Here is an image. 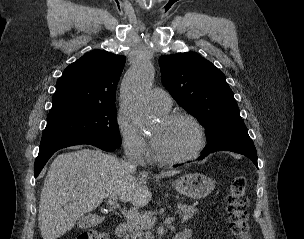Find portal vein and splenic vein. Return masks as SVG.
Listing matches in <instances>:
<instances>
[{
	"label": "portal vein and splenic vein",
	"mask_w": 304,
	"mask_h": 239,
	"mask_svg": "<svg viewBox=\"0 0 304 239\" xmlns=\"http://www.w3.org/2000/svg\"><path fill=\"white\" fill-rule=\"evenodd\" d=\"M117 201H118L117 196H110V197L108 198V204H109L110 206H112L113 208H116V207L119 206V204H118ZM120 211H121V213L124 215V217H126V218L128 219V221H133V220H135L136 218H138L137 214H135V213H133V212H129V211H127L126 209H120ZM174 220H175V217H169V218H167V219L164 221V223H165V224H170V223H172ZM154 223H155L154 220H151V221L148 222V224H149L150 226H154Z\"/></svg>",
	"instance_id": "obj_1"
}]
</instances>
